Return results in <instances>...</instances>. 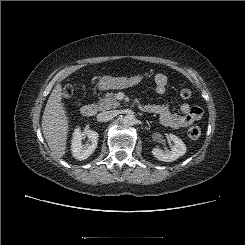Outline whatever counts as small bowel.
Wrapping results in <instances>:
<instances>
[{
	"instance_id": "1",
	"label": "small bowel",
	"mask_w": 245,
	"mask_h": 245,
	"mask_svg": "<svg viewBox=\"0 0 245 245\" xmlns=\"http://www.w3.org/2000/svg\"><path fill=\"white\" fill-rule=\"evenodd\" d=\"M155 91L157 94H164L168 86V78L163 73H157L154 76ZM142 107L151 113L159 116L163 126L168 128H185L199 121L203 116V110L199 106H193L188 103L180 105L181 114H173L170 105L164 103L143 102Z\"/></svg>"
}]
</instances>
